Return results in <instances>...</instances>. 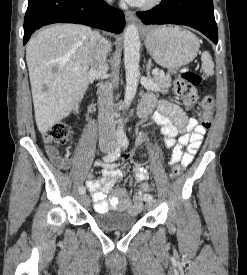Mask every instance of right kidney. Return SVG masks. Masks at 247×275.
I'll return each instance as SVG.
<instances>
[{
	"label": "right kidney",
	"instance_id": "1",
	"mask_svg": "<svg viewBox=\"0 0 247 275\" xmlns=\"http://www.w3.org/2000/svg\"><path fill=\"white\" fill-rule=\"evenodd\" d=\"M75 111H76V113H78V105H76Z\"/></svg>",
	"mask_w": 247,
	"mask_h": 275
}]
</instances>
